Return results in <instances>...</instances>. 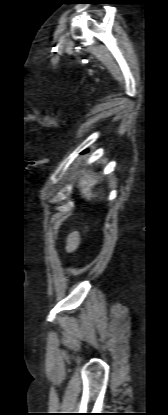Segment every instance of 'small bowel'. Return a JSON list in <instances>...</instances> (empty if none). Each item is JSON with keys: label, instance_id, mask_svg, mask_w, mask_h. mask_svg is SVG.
<instances>
[{"label": "small bowel", "instance_id": "obj_1", "mask_svg": "<svg viewBox=\"0 0 168 415\" xmlns=\"http://www.w3.org/2000/svg\"><path fill=\"white\" fill-rule=\"evenodd\" d=\"M80 242V237L78 233H71L68 235L67 239H66V251L69 253L74 252Z\"/></svg>", "mask_w": 168, "mask_h": 415}]
</instances>
